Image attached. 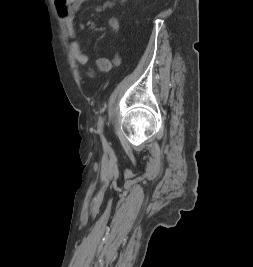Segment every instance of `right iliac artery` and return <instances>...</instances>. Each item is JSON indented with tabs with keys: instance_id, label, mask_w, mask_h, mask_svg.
Here are the masks:
<instances>
[{
	"instance_id": "82829eb1",
	"label": "right iliac artery",
	"mask_w": 253,
	"mask_h": 267,
	"mask_svg": "<svg viewBox=\"0 0 253 267\" xmlns=\"http://www.w3.org/2000/svg\"><path fill=\"white\" fill-rule=\"evenodd\" d=\"M98 133L101 137L103 145L105 146L107 144V141L103 135V118H100V120L98 122Z\"/></svg>"
}]
</instances>
